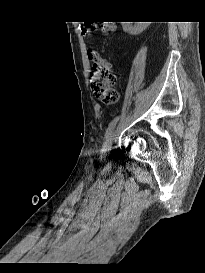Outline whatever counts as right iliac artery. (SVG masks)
<instances>
[{
  "instance_id": "1",
  "label": "right iliac artery",
  "mask_w": 205,
  "mask_h": 273,
  "mask_svg": "<svg viewBox=\"0 0 205 273\" xmlns=\"http://www.w3.org/2000/svg\"><path fill=\"white\" fill-rule=\"evenodd\" d=\"M119 120V116H116L109 124L108 128L106 129L105 132V137L107 138V136L110 134V132L113 130V128L116 126L117 122Z\"/></svg>"
}]
</instances>
